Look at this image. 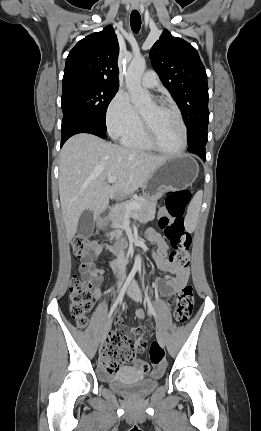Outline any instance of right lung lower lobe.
<instances>
[{
    "instance_id": "98d812e1",
    "label": "right lung lower lobe",
    "mask_w": 261,
    "mask_h": 431,
    "mask_svg": "<svg viewBox=\"0 0 261 431\" xmlns=\"http://www.w3.org/2000/svg\"><path fill=\"white\" fill-rule=\"evenodd\" d=\"M61 146L68 138L78 133H90L101 138H106V132L99 127L88 124L85 120L69 114L63 115Z\"/></svg>"
}]
</instances>
